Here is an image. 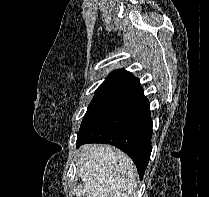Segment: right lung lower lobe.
<instances>
[{
  "instance_id": "98d812e1",
  "label": "right lung lower lobe",
  "mask_w": 209,
  "mask_h": 197,
  "mask_svg": "<svg viewBox=\"0 0 209 197\" xmlns=\"http://www.w3.org/2000/svg\"><path fill=\"white\" fill-rule=\"evenodd\" d=\"M151 136L149 101L141 93L80 130L77 147L85 143L114 145L133 160L142 177L150 159Z\"/></svg>"
}]
</instances>
